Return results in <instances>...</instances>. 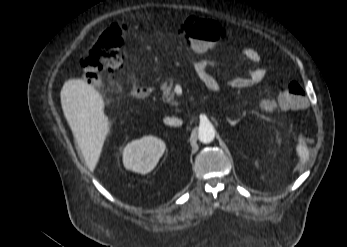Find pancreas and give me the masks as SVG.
<instances>
[{
    "label": "pancreas",
    "mask_w": 347,
    "mask_h": 247,
    "mask_svg": "<svg viewBox=\"0 0 347 247\" xmlns=\"http://www.w3.org/2000/svg\"><path fill=\"white\" fill-rule=\"evenodd\" d=\"M173 84H174V80L172 78L166 79L160 85V89L163 92V94H162L163 101L171 103V104H177L174 101Z\"/></svg>",
    "instance_id": "1"
}]
</instances>
